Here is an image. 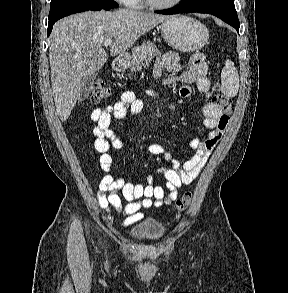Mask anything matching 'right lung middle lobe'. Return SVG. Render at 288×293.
<instances>
[{
	"mask_svg": "<svg viewBox=\"0 0 288 293\" xmlns=\"http://www.w3.org/2000/svg\"><path fill=\"white\" fill-rule=\"evenodd\" d=\"M82 6L116 8L119 5L114 0H51L49 19L67 10Z\"/></svg>",
	"mask_w": 288,
	"mask_h": 293,
	"instance_id": "right-lung-middle-lobe-1",
	"label": "right lung middle lobe"
}]
</instances>
